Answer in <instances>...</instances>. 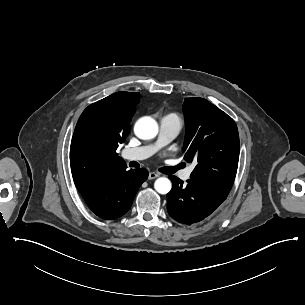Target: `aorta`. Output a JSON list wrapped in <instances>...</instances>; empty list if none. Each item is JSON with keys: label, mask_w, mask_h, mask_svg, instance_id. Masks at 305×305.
Masks as SVG:
<instances>
[{"label": "aorta", "mask_w": 305, "mask_h": 305, "mask_svg": "<svg viewBox=\"0 0 305 305\" xmlns=\"http://www.w3.org/2000/svg\"><path fill=\"white\" fill-rule=\"evenodd\" d=\"M134 133L142 140L152 139L158 133V124L151 117H142L135 123ZM154 188L160 194H167L170 192L172 184L168 178L160 177L155 181Z\"/></svg>", "instance_id": "1"}]
</instances>
